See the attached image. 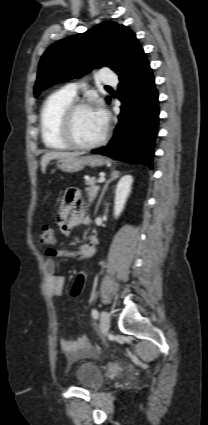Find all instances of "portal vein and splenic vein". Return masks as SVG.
<instances>
[{"label":"portal vein and splenic vein","mask_w":208,"mask_h":425,"mask_svg":"<svg viewBox=\"0 0 208 425\" xmlns=\"http://www.w3.org/2000/svg\"><path fill=\"white\" fill-rule=\"evenodd\" d=\"M105 181V177L104 176H101L99 179H98V182L99 183H103Z\"/></svg>","instance_id":"1"}]
</instances>
